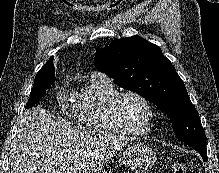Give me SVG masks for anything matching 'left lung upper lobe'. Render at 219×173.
<instances>
[{
  "mask_svg": "<svg viewBox=\"0 0 219 173\" xmlns=\"http://www.w3.org/2000/svg\"><path fill=\"white\" fill-rule=\"evenodd\" d=\"M96 68L167 113L176 136L206 150L205 132L182 79L161 49L140 36L117 39L95 54Z\"/></svg>",
  "mask_w": 219,
  "mask_h": 173,
  "instance_id": "1",
  "label": "left lung upper lobe"
}]
</instances>
